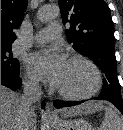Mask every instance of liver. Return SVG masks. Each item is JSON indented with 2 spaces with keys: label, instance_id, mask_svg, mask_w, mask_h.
Returning <instances> with one entry per match:
<instances>
[{
  "label": "liver",
  "instance_id": "1",
  "mask_svg": "<svg viewBox=\"0 0 123 130\" xmlns=\"http://www.w3.org/2000/svg\"><path fill=\"white\" fill-rule=\"evenodd\" d=\"M99 105L83 104L69 110L63 109L61 114L68 118L75 115L88 114L96 110ZM23 109L22 96L1 86V130H19ZM30 128L36 130V114L31 111Z\"/></svg>",
  "mask_w": 123,
  "mask_h": 130
}]
</instances>
